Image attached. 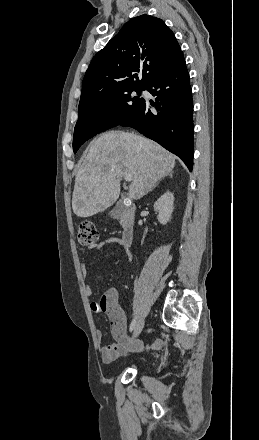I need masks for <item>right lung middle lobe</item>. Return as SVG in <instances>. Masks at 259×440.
<instances>
[{
    "instance_id": "1",
    "label": "right lung middle lobe",
    "mask_w": 259,
    "mask_h": 440,
    "mask_svg": "<svg viewBox=\"0 0 259 440\" xmlns=\"http://www.w3.org/2000/svg\"><path fill=\"white\" fill-rule=\"evenodd\" d=\"M145 89L132 88L119 91L79 108V120L73 136L74 153L88 139L129 119L144 101L140 93ZM133 92H137V96H134Z\"/></svg>"
}]
</instances>
